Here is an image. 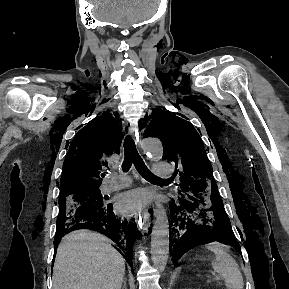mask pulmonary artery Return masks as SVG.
<instances>
[{
	"mask_svg": "<svg viewBox=\"0 0 289 289\" xmlns=\"http://www.w3.org/2000/svg\"><path fill=\"white\" fill-rule=\"evenodd\" d=\"M154 172L158 177L170 178L173 175L172 165L166 161H160L155 164ZM130 179L126 175H111L110 179L103 184L105 192H111L129 185Z\"/></svg>",
	"mask_w": 289,
	"mask_h": 289,
	"instance_id": "e3ab8cb5",
	"label": "pulmonary artery"
}]
</instances>
